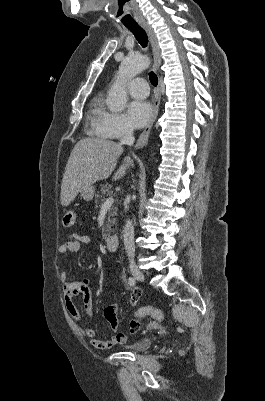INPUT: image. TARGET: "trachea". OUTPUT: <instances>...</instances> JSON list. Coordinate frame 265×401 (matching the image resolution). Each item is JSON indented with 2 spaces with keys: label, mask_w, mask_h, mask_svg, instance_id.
<instances>
[{
  "label": "trachea",
  "mask_w": 265,
  "mask_h": 401,
  "mask_svg": "<svg viewBox=\"0 0 265 401\" xmlns=\"http://www.w3.org/2000/svg\"><path fill=\"white\" fill-rule=\"evenodd\" d=\"M125 27H127L128 30H130V32L134 34L136 40L140 43V45H142V47L145 48L147 46L148 44L147 34L145 30H143V28H141L140 25H138L137 22L126 23ZM149 79L152 85L154 87H157L158 77L154 72L149 73Z\"/></svg>",
  "instance_id": "3493384b"
}]
</instances>
